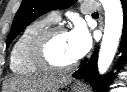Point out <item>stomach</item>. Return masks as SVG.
Masks as SVG:
<instances>
[{"label":"stomach","mask_w":127,"mask_h":92,"mask_svg":"<svg viewBox=\"0 0 127 92\" xmlns=\"http://www.w3.org/2000/svg\"><path fill=\"white\" fill-rule=\"evenodd\" d=\"M73 92H88V89L85 87H74Z\"/></svg>","instance_id":"0dacf381"}]
</instances>
